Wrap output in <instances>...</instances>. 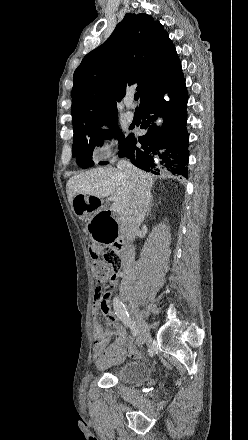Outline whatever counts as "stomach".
Listing matches in <instances>:
<instances>
[{
    "instance_id": "obj_1",
    "label": "stomach",
    "mask_w": 248,
    "mask_h": 440,
    "mask_svg": "<svg viewBox=\"0 0 248 440\" xmlns=\"http://www.w3.org/2000/svg\"><path fill=\"white\" fill-rule=\"evenodd\" d=\"M100 199L94 196L77 194L72 201L76 218H88L86 232H91L93 246H114L120 239V223L114 218V209H99Z\"/></svg>"
}]
</instances>
